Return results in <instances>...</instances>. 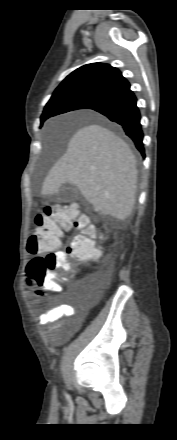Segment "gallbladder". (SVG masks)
<instances>
[{"mask_svg":"<svg viewBox=\"0 0 177 440\" xmlns=\"http://www.w3.org/2000/svg\"><path fill=\"white\" fill-rule=\"evenodd\" d=\"M79 197V192L76 188L65 186L62 187L56 194L51 197L53 202H71Z\"/></svg>","mask_w":177,"mask_h":440,"instance_id":"bac80fb5","label":"gallbladder"}]
</instances>
